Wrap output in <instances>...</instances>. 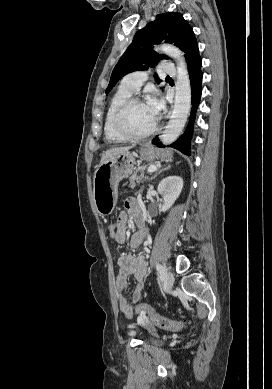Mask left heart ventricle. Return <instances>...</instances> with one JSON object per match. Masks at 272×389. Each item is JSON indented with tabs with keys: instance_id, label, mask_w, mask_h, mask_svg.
I'll return each instance as SVG.
<instances>
[{
	"instance_id": "b2bd125f",
	"label": "left heart ventricle",
	"mask_w": 272,
	"mask_h": 389,
	"mask_svg": "<svg viewBox=\"0 0 272 389\" xmlns=\"http://www.w3.org/2000/svg\"><path fill=\"white\" fill-rule=\"evenodd\" d=\"M154 122L155 118L145 103L132 106L126 118L128 129L136 134L148 131Z\"/></svg>"
}]
</instances>
